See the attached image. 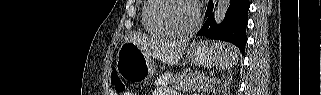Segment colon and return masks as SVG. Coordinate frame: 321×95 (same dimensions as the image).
Returning a JSON list of instances; mask_svg holds the SVG:
<instances>
[{"mask_svg":"<svg viewBox=\"0 0 321 95\" xmlns=\"http://www.w3.org/2000/svg\"><path fill=\"white\" fill-rule=\"evenodd\" d=\"M111 83L117 93H124L126 88L125 83L122 81V79L115 71L111 74Z\"/></svg>","mask_w":321,"mask_h":95,"instance_id":"1","label":"colon"}]
</instances>
